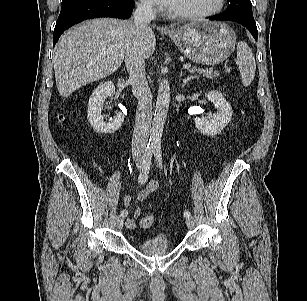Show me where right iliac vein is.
<instances>
[{
  "instance_id": "right-iliac-vein-1",
  "label": "right iliac vein",
  "mask_w": 307,
  "mask_h": 301,
  "mask_svg": "<svg viewBox=\"0 0 307 301\" xmlns=\"http://www.w3.org/2000/svg\"><path fill=\"white\" fill-rule=\"evenodd\" d=\"M136 165H137V167H138L139 169L142 168V166H143V161H142V158H141V157H137V158H136ZM124 220H125V218H124L123 216H121V215H118V216L116 217V224H117V227H118L119 229H121V228L123 227Z\"/></svg>"
}]
</instances>
